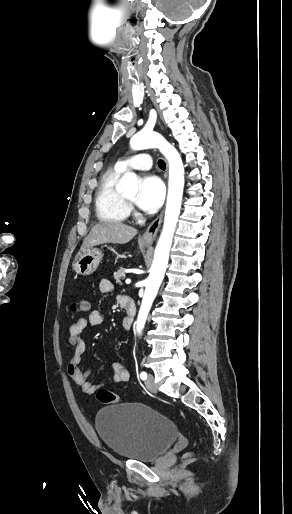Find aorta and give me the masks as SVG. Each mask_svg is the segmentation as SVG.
Segmentation results:
<instances>
[{"label":"aorta","instance_id":"762f6f07","mask_svg":"<svg viewBox=\"0 0 292 514\" xmlns=\"http://www.w3.org/2000/svg\"><path fill=\"white\" fill-rule=\"evenodd\" d=\"M132 150H148V148H159L161 154L165 156L169 164V182L168 196L165 210L164 226L159 242L156 246L154 262L151 266L150 276L146 280V290L144 292L141 308L137 318V332L140 334L144 328L148 312L152 306L154 298L161 286V282L166 272L169 252L172 246V240L178 222L180 208L182 204L183 188H184V166L182 160L169 142H166L157 132H147L142 130L136 136L131 138ZM124 190L130 188L132 192H136L138 180L136 174L128 172L124 178L120 180Z\"/></svg>","mask_w":292,"mask_h":514}]
</instances>
